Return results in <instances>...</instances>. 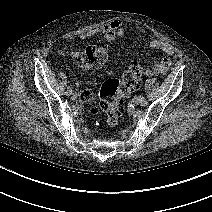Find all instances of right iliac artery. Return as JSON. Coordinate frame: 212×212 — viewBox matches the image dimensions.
Returning a JSON list of instances; mask_svg holds the SVG:
<instances>
[{
    "instance_id": "82829eb1",
    "label": "right iliac artery",
    "mask_w": 212,
    "mask_h": 212,
    "mask_svg": "<svg viewBox=\"0 0 212 212\" xmlns=\"http://www.w3.org/2000/svg\"><path fill=\"white\" fill-rule=\"evenodd\" d=\"M72 93V88L68 87L67 91H66V95H71Z\"/></svg>"
}]
</instances>
